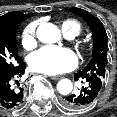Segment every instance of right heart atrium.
<instances>
[{"instance_id": "right-heart-atrium-1", "label": "right heart atrium", "mask_w": 117, "mask_h": 117, "mask_svg": "<svg viewBox=\"0 0 117 117\" xmlns=\"http://www.w3.org/2000/svg\"><path fill=\"white\" fill-rule=\"evenodd\" d=\"M21 43L23 47L27 50L33 49L36 44V24H28L22 32Z\"/></svg>"}]
</instances>
